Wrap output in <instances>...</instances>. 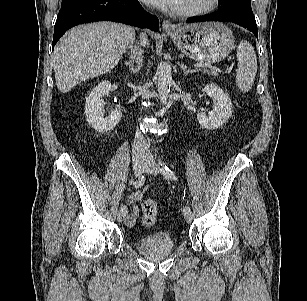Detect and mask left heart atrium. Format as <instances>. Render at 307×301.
Here are the masks:
<instances>
[{"label": "left heart atrium", "instance_id": "39dd6f15", "mask_svg": "<svg viewBox=\"0 0 307 301\" xmlns=\"http://www.w3.org/2000/svg\"><path fill=\"white\" fill-rule=\"evenodd\" d=\"M146 3L152 4L162 9H177L180 0H143Z\"/></svg>", "mask_w": 307, "mask_h": 301}]
</instances>
